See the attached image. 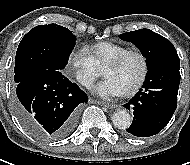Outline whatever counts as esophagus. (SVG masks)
<instances>
[{
	"label": "esophagus",
	"mask_w": 190,
	"mask_h": 165,
	"mask_svg": "<svg viewBox=\"0 0 190 165\" xmlns=\"http://www.w3.org/2000/svg\"><path fill=\"white\" fill-rule=\"evenodd\" d=\"M100 105H103L107 108H110V109H115L117 108V105L116 104H112V103H107V102H103V101H99L98 102Z\"/></svg>",
	"instance_id": "esophagus-1"
}]
</instances>
